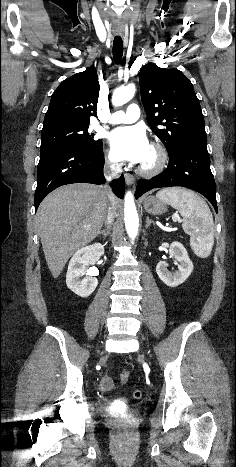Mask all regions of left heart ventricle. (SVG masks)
Instances as JSON below:
<instances>
[{"label":"left heart ventricle","instance_id":"obj_1","mask_svg":"<svg viewBox=\"0 0 236 467\" xmlns=\"http://www.w3.org/2000/svg\"><path fill=\"white\" fill-rule=\"evenodd\" d=\"M154 161H155V154H154L153 150L150 148L148 156L146 157V159L144 160V162L142 164L152 165L154 163Z\"/></svg>","mask_w":236,"mask_h":467}]
</instances>
